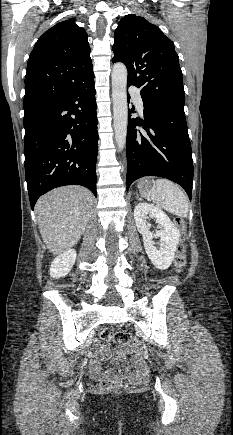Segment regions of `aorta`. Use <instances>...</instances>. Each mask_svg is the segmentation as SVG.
Here are the masks:
<instances>
[{
	"instance_id": "762f6f07",
	"label": "aorta",
	"mask_w": 233,
	"mask_h": 435,
	"mask_svg": "<svg viewBox=\"0 0 233 435\" xmlns=\"http://www.w3.org/2000/svg\"><path fill=\"white\" fill-rule=\"evenodd\" d=\"M127 68L116 63L112 70V98L114 112L115 141L119 150L126 144L128 105H127Z\"/></svg>"
}]
</instances>
